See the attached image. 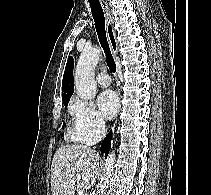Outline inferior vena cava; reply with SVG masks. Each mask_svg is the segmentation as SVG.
I'll return each mask as SVG.
<instances>
[{"mask_svg":"<svg viewBox=\"0 0 211 195\" xmlns=\"http://www.w3.org/2000/svg\"><path fill=\"white\" fill-rule=\"evenodd\" d=\"M98 129L100 131V133L102 135H105L106 133V129H105V122L103 120H101L99 123H98Z\"/></svg>","mask_w":211,"mask_h":195,"instance_id":"1","label":"inferior vena cava"}]
</instances>
